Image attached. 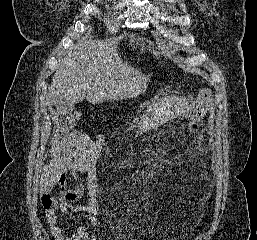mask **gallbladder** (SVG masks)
Masks as SVG:
<instances>
[{
    "mask_svg": "<svg viewBox=\"0 0 257 240\" xmlns=\"http://www.w3.org/2000/svg\"><path fill=\"white\" fill-rule=\"evenodd\" d=\"M55 105L57 112L63 115L69 114L74 110V104L63 99L62 95L57 97Z\"/></svg>",
    "mask_w": 257,
    "mask_h": 240,
    "instance_id": "1",
    "label": "gallbladder"
}]
</instances>
